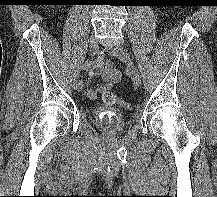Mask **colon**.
Here are the masks:
<instances>
[{
	"label": "colon",
	"instance_id": "obj_1",
	"mask_svg": "<svg viewBox=\"0 0 217 197\" xmlns=\"http://www.w3.org/2000/svg\"><path fill=\"white\" fill-rule=\"evenodd\" d=\"M103 101L107 106H116L120 105L125 109H128L130 106L128 103L124 102L121 98H119L116 94L111 91H105L102 95Z\"/></svg>",
	"mask_w": 217,
	"mask_h": 197
}]
</instances>
